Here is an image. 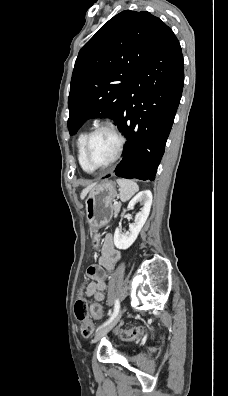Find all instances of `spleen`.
I'll use <instances>...</instances> for the list:
<instances>
[{
    "label": "spleen",
    "mask_w": 228,
    "mask_h": 396,
    "mask_svg": "<svg viewBox=\"0 0 228 396\" xmlns=\"http://www.w3.org/2000/svg\"><path fill=\"white\" fill-rule=\"evenodd\" d=\"M116 181L120 186L119 197L122 202L128 201L139 190L137 183L132 180L118 178Z\"/></svg>",
    "instance_id": "1"
}]
</instances>
